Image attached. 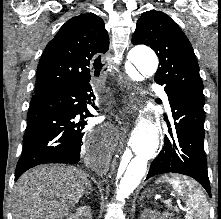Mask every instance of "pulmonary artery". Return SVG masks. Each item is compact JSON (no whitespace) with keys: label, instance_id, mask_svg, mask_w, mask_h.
Listing matches in <instances>:
<instances>
[{"label":"pulmonary artery","instance_id":"e3ab8cb5","mask_svg":"<svg viewBox=\"0 0 221 219\" xmlns=\"http://www.w3.org/2000/svg\"><path fill=\"white\" fill-rule=\"evenodd\" d=\"M153 91L163 96V100H164L166 108L170 109L168 98H167L166 94L163 93L162 89L159 86L155 85L153 87Z\"/></svg>","mask_w":221,"mask_h":219}]
</instances>
